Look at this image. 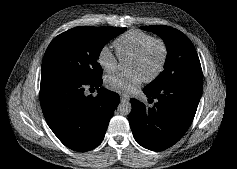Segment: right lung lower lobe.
Instances as JSON below:
<instances>
[{"label":"right lung lower lobe","mask_w":237,"mask_h":169,"mask_svg":"<svg viewBox=\"0 0 237 169\" xmlns=\"http://www.w3.org/2000/svg\"><path fill=\"white\" fill-rule=\"evenodd\" d=\"M101 84L102 78L84 81L41 76L40 102L45 119L58 139L72 150L84 152L97 147L120 102L117 93L99 88ZM86 87H95L98 95L85 96Z\"/></svg>","instance_id":"right-lung-lower-lobe-1"}]
</instances>
